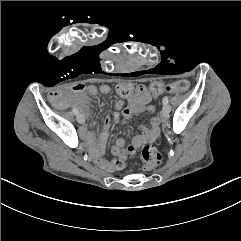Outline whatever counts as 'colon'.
<instances>
[{
	"instance_id": "obj_1",
	"label": "colon",
	"mask_w": 241,
	"mask_h": 241,
	"mask_svg": "<svg viewBox=\"0 0 241 241\" xmlns=\"http://www.w3.org/2000/svg\"><path fill=\"white\" fill-rule=\"evenodd\" d=\"M192 88L193 85L191 83L180 81L179 83H175L173 86L171 84H167L164 88V91L167 94H170L172 92L183 93L187 90H191ZM148 89L151 94L155 95L161 92L162 87L158 82L154 81L149 84ZM113 90L114 93H117L119 97H122L123 95L129 97L133 92V85L127 79H120L118 81V84H114ZM165 148L168 150L170 146L167 144ZM140 158L143 162H145L143 165V169L147 173L155 170V168L161 163V155L159 151L156 149L155 146L151 144H147L142 148ZM113 164L116 168H124L126 165L123 160L119 159H115L113 161Z\"/></svg>"
}]
</instances>
